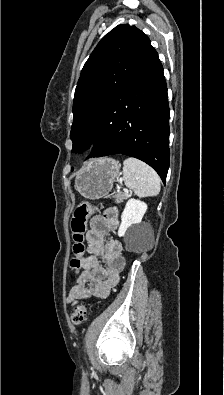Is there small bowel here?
Listing matches in <instances>:
<instances>
[{
  "instance_id": "1",
  "label": "small bowel",
  "mask_w": 224,
  "mask_h": 395,
  "mask_svg": "<svg viewBox=\"0 0 224 395\" xmlns=\"http://www.w3.org/2000/svg\"><path fill=\"white\" fill-rule=\"evenodd\" d=\"M118 225L115 208H110L103 216L91 221L87 233L88 255L81 259V272L67 297L68 303L91 295L103 299L117 284L120 273L125 267L122 245L117 239L105 240L108 231ZM104 263V265L101 264Z\"/></svg>"
}]
</instances>
